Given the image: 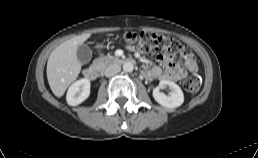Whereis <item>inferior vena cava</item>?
<instances>
[{"label": "inferior vena cava", "instance_id": "602c4592", "mask_svg": "<svg viewBox=\"0 0 258 158\" xmlns=\"http://www.w3.org/2000/svg\"><path fill=\"white\" fill-rule=\"evenodd\" d=\"M121 70L120 66L118 64H112L109 65L106 69H105V76L106 77H111L114 76L115 74L119 73Z\"/></svg>", "mask_w": 258, "mask_h": 158}]
</instances>
